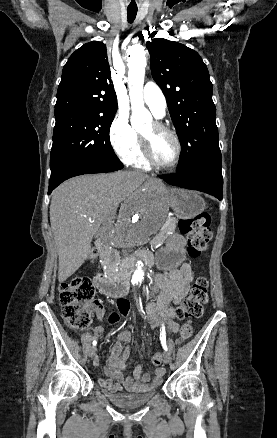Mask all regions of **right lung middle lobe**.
<instances>
[{
	"instance_id": "right-lung-middle-lobe-1",
	"label": "right lung middle lobe",
	"mask_w": 277,
	"mask_h": 438,
	"mask_svg": "<svg viewBox=\"0 0 277 438\" xmlns=\"http://www.w3.org/2000/svg\"><path fill=\"white\" fill-rule=\"evenodd\" d=\"M114 116H55L50 155L51 177L68 167L94 162H120L109 139Z\"/></svg>"
}]
</instances>
